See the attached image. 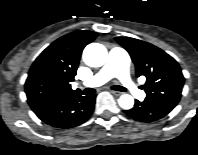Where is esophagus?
Segmentation results:
<instances>
[{"instance_id":"34e87169","label":"esophagus","mask_w":198,"mask_h":155,"mask_svg":"<svg viewBox=\"0 0 198 155\" xmlns=\"http://www.w3.org/2000/svg\"><path fill=\"white\" fill-rule=\"evenodd\" d=\"M113 95L115 96H120L122 94V92H119V91H114V90H111L110 91Z\"/></svg>"}]
</instances>
